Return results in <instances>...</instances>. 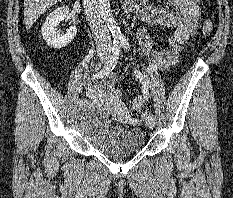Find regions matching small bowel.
I'll use <instances>...</instances> for the list:
<instances>
[{
	"label": "small bowel",
	"instance_id": "small-bowel-1",
	"mask_svg": "<svg viewBox=\"0 0 233 198\" xmlns=\"http://www.w3.org/2000/svg\"><path fill=\"white\" fill-rule=\"evenodd\" d=\"M169 3L175 8L174 13L144 4L138 12L144 24L162 25L171 29L170 47L165 50L154 49L153 41L145 28H140L137 32L138 43L148 61L161 71L167 70L177 62L181 45L195 32L200 15L199 7L194 0H169ZM115 82H118L117 75L110 72L100 80L89 83L86 86V93L89 99L108 105L116 115L124 117L126 110L121 101L122 93L120 89L113 88Z\"/></svg>",
	"mask_w": 233,
	"mask_h": 198
}]
</instances>
